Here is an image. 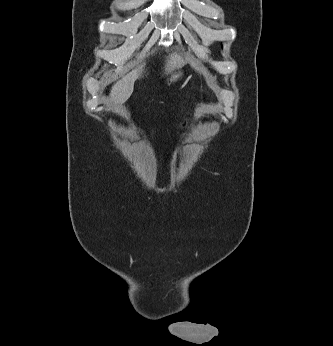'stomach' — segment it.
Instances as JSON below:
<instances>
[{"label":"stomach","instance_id":"stomach-1","mask_svg":"<svg viewBox=\"0 0 333 346\" xmlns=\"http://www.w3.org/2000/svg\"><path fill=\"white\" fill-rule=\"evenodd\" d=\"M183 75V71L179 70L174 73H171V76L167 79V82L168 84H171V83H175L176 81H178Z\"/></svg>","mask_w":333,"mask_h":346}]
</instances>
